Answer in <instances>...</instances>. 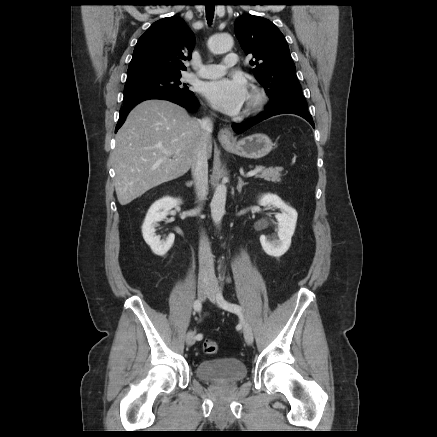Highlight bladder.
Masks as SVG:
<instances>
[{
  "label": "bladder",
  "instance_id": "obj_1",
  "mask_svg": "<svg viewBox=\"0 0 437 437\" xmlns=\"http://www.w3.org/2000/svg\"><path fill=\"white\" fill-rule=\"evenodd\" d=\"M196 376L204 381L214 383L236 382L245 378L247 368L237 358L202 360L195 368Z\"/></svg>",
  "mask_w": 437,
  "mask_h": 437
}]
</instances>
